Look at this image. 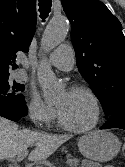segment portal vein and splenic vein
<instances>
[{
    "instance_id": "18ae733b",
    "label": "portal vein and splenic vein",
    "mask_w": 125,
    "mask_h": 167,
    "mask_svg": "<svg viewBox=\"0 0 125 167\" xmlns=\"http://www.w3.org/2000/svg\"><path fill=\"white\" fill-rule=\"evenodd\" d=\"M27 154H28V151H27V150H24L22 153H20V154L17 156L16 160H17L18 162L21 161V160H23V158L26 157ZM70 163H71V160H67V161H66V164H70Z\"/></svg>"
}]
</instances>
